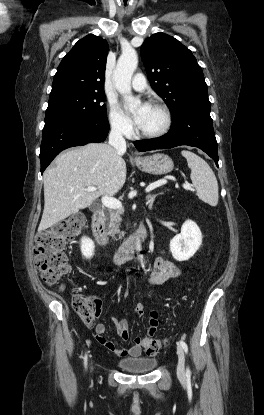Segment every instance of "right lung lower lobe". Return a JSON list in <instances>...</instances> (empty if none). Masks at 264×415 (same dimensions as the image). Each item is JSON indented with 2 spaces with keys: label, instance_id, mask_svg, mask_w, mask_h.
<instances>
[{
  "label": "right lung lower lobe",
  "instance_id": "obj_1",
  "mask_svg": "<svg viewBox=\"0 0 264 415\" xmlns=\"http://www.w3.org/2000/svg\"><path fill=\"white\" fill-rule=\"evenodd\" d=\"M109 132L107 119H82L45 125L40 148L41 173L64 149L102 142Z\"/></svg>",
  "mask_w": 264,
  "mask_h": 415
}]
</instances>
